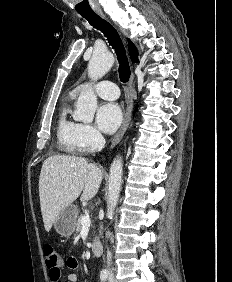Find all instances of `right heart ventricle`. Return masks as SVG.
Returning <instances> with one entry per match:
<instances>
[{
  "instance_id": "right-heart-ventricle-1",
  "label": "right heart ventricle",
  "mask_w": 232,
  "mask_h": 282,
  "mask_svg": "<svg viewBox=\"0 0 232 282\" xmlns=\"http://www.w3.org/2000/svg\"><path fill=\"white\" fill-rule=\"evenodd\" d=\"M73 98L74 96L71 95L69 99L61 104L57 121L58 149L69 154L76 153L80 150L77 136L79 123L73 120L70 115V102Z\"/></svg>"
}]
</instances>
